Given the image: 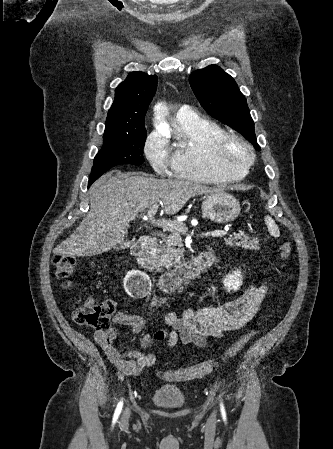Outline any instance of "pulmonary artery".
<instances>
[{"mask_svg": "<svg viewBox=\"0 0 333 449\" xmlns=\"http://www.w3.org/2000/svg\"><path fill=\"white\" fill-rule=\"evenodd\" d=\"M197 118L196 113L193 111L192 108H190L187 105H182L177 113H176V120L177 122L181 121H193Z\"/></svg>", "mask_w": 333, "mask_h": 449, "instance_id": "obj_1", "label": "pulmonary artery"}]
</instances>
